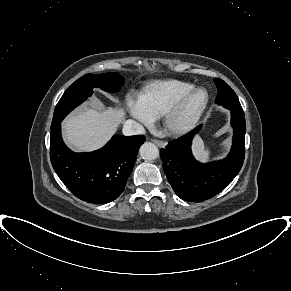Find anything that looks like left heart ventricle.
<instances>
[{
	"label": "left heart ventricle",
	"mask_w": 291,
	"mask_h": 291,
	"mask_svg": "<svg viewBox=\"0 0 291 291\" xmlns=\"http://www.w3.org/2000/svg\"><path fill=\"white\" fill-rule=\"evenodd\" d=\"M203 100L204 94L202 92L195 94L188 102L186 108L184 109L181 119L184 120L188 118L191 114H193L197 110V108L202 104Z\"/></svg>",
	"instance_id": "b2bd125f"
}]
</instances>
